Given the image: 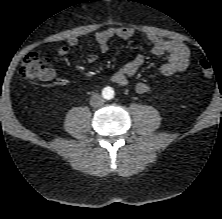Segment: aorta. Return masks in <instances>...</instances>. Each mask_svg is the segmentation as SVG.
Here are the masks:
<instances>
[{
    "label": "aorta",
    "instance_id": "obj_1",
    "mask_svg": "<svg viewBox=\"0 0 222 219\" xmlns=\"http://www.w3.org/2000/svg\"><path fill=\"white\" fill-rule=\"evenodd\" d=\"M104 94H106L109 98L113 97V91L110 88H106Z\"/></svg>",
    "mask_w": 222,
    "mask_h": 219
}]
</instances>
